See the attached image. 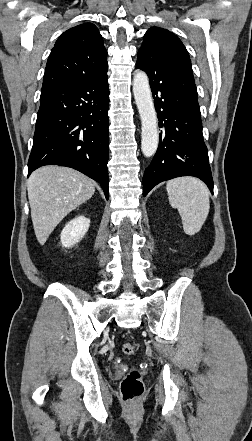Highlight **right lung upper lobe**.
<instances>
[{
	"label": "right lung upper lobe",
	"instance_id": "1",
	"mask_svg": "<svg viewBox=\"0 0 252 441\" xmlns=\"http://www.w3.org/2000/svg\"><path fill=\"white\" fill-rule=\"evenodd\" d=\"M107 51L92 23L65 31L49 55L41 92L55 87L107 77Z\"/></svg>",
	"mask_w": 252,
	"mask_h": 441
}]
</instances>
